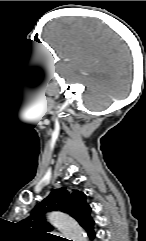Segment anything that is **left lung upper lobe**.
I'll list each match as a JSON object with an SVG mask.
<instances>
[{
    "label": "left lung upper lobe",
    "instance_id": "1",
    "mask_svg": "<svg viewBox=\"0 0 146 241\" xmlns=\"http://www.w3.org/2000/svg\"><path fill=\"white\" fill-rule=\"evenodd\" d=\"M58 210L72 216L82 227L92 221L91 208L86 202V195L78 190L69 191L65 187L53 190L32 210L30 215L21 221L23 227L36 233L44 240H59L48 232L53 227L46 221L45 213Z\"/></svg>",
    "mask_w": 146,
    "mask_h": 241
}]
</instances>
